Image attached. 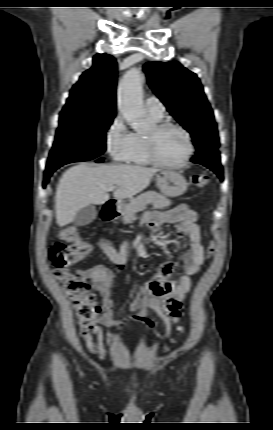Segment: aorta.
<instances>
[{
    "label": "aorta",
    "instance_id": "1",
    "mask_svg": "<svg viewBox=\"0 0 273 430\" xmlns=\"http://www.w3.org/2000/svg\"><path fill=\"white\" fill-rule=\"evenodd\" d=\"M118 108L125 120L136 131L147 128L144 120L145 109L139 69H131L121 80L118 87Z\"/></svg>",
    "mask_w": 273,
    "mask_h": 430
}]
</instances>
